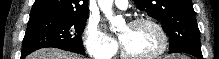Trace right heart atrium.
I'll use <instances>...</instances> for the list:
<instances>
[{
	"label": "right heart atrium",
	"instance_id": "1",
	"mask_svg": "<svg viewBox=\"0 0 219 59\" xmlns=\"http://www.w3.org/2000/svg\"><path fill=\"white\" fill-rule=\"evenodd\" d=\"M83 44L88 55L94 59H108L115 54L116 44L98 21L90 20L83 33Z\"/></svg>",
	"mask_w": 219,
	"mask_h": 59
}]
</instances>
